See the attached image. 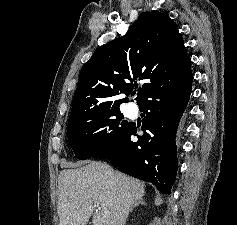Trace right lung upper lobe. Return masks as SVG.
<instances>
[{
	"instance_id": "right-lung-upper-lobe-1",
	"label": "right lung upper lobe",
	"mask_w": 237,
	"mask_h": 225,
	"mask_svg": "<svg viewBox=\"0 0 237 225\" xmlns=\"http://www.w3.org/2000/svg\"><path fill=\"white\" fill-rule=\"evenodd\" d=\"M184 40L166 13L141 15L127 33L99 47L83 66L72 101L68 123L81 122L119 109L139 88L137 104L166 83L182 85L193 80ZM134 82V84H133Z\"/></svg>"
}]
</instances>
